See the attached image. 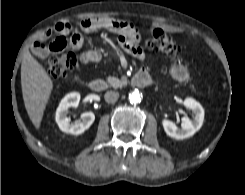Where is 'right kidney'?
Instances as JSON below:
<instances>
[{
	"mask_svg": "<svg viewBox=\"0 0 245 195\" xmlns=\"http://www.w3.org/2000/svg\"><path fill=\"white\" fill-rule=\"evenodd\" d=\"M80 101V94L78 92H71L67 94L60 102L56 111V122L61 131L73 135L82 134L87 130L95 120L93 112H85L81 114V120L75 123H70L67 114L71 107H77Z\"/></svg>",
	"mask_w": 245,
	"mask_h": 195,
	"instance_id": "ca27d5eb",
	"label": "right kidney"
}]
</instances>
